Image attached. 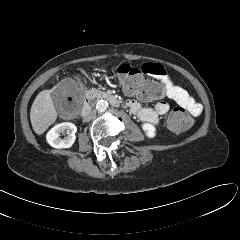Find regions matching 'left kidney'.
I'll return each mask as SVG.
<instances>
[{
  "label": "left kidney",
  "mask_w": 240,
  "mask_h": 240,
  "mask_svg": "<svg viewBox=\"0 0 240 240\" xmlns=\"http://www.w3.org/2000/svg\"><path fill=\"white\" fill-rule=\"evenodd\" d=\"M142 129L148 138H154L156 136V128L154 125L149 123L142 124Z\"/></svg>",
  "instance_id": "5707ae66"
}]
</instances>
